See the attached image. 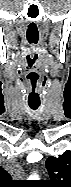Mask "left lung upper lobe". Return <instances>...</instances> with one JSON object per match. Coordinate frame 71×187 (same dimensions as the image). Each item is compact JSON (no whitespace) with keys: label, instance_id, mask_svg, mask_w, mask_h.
<instances>
[{"label":"left lung upper lobe","instance_id":"1","mask_svg":"<svg viewBox=\"0 0 71 187\" xmlns=\"http://www.w3.org/2000/svg\"><path fill=\"white\" fill-rule=\"evenodd\" d=\"M46 168L51 180L42 183L51 187H71V152L55 158L49 157L46 161Z\"/></svg>","mask_w":71,"mask_h":187}]
</instances>
